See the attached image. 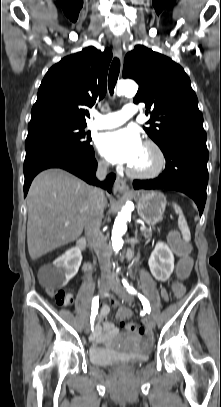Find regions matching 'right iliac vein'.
I'll return each mask as SVG.
<instances>
[{"label": "right iliac vein", "instance_id": "63e3f726", "mask_svg": "<svg viewBox=\"0 0 221 407\" xmlns=\"http://www.w3.org/2000/svg\"><path fill=\"white\" fill-rule=\"evenodd\" d=\"M111 285L108 282H101L99 285V293L101 296H103V294H105L106 292L109 291ZM84 331L86 334L89 333L90 331V323L89 321H87L84 325Z\"/></svg>", "mask_w": 221, "mask_h": 407}]
</instances>
